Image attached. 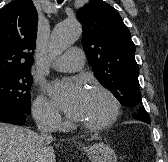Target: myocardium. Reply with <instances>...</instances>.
I'll return each instance as SVG.
<instances>
[{"mask_svg": "<svg viewBox=\"0 0 168 162\" xmlns=\"http://www.w3.org/2000/svg\"><path fill=\"white\" fill-rule=\"evenodd\" d=\"M90 92L104 95L110 103V111L105 119L97 123L79 122V125L90 131H101L111 126L117 119L120 112V103L115 94L104 86H95Z\"/></svg>", "mask_w": 168, "mask_h": 162, "instance_id": "myocardium-1", "label": "myocardium"}]
</instances>
